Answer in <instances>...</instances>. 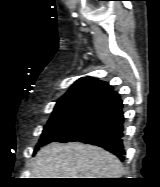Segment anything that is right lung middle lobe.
<instances>
[{
  "label": "right lung middle lobe",
  "instance_id": "1",
  "mask_svg": "<svg viewBox=\"0 0 160 187\" xmlns=\"http://www.w3.org/2000/svg\"><path fill=\"white\" fill-rule=\"evenodd\" d=\"M96 106L93 104L78 103L55 107L51 118L43 129L34 152L41 146L56 141L61 136L73 130L90 116Z\"/></svg>",
  "mask_w": 160,
  "mask_h": 187
}]
</instances>
